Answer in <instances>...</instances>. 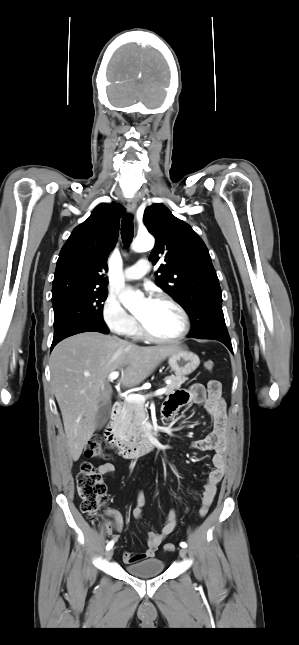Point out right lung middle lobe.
<instances>
[{"instance_id":"right-lung-middle-lobe-1","label":"right lung middle lobe","mask_w":299,"mask_h":645,"mask_svg":"<svg viewBox=\"0 0 299 645\" xmlns=\"http://www.w3.org/2000/svg\"><path fill=\"white\" fill-rule=\"evenodd\" d=\"M107 289L69 290L52 297L54 338L81 325L105 327L103 305Z\"/></svg>"}]
</instances>
